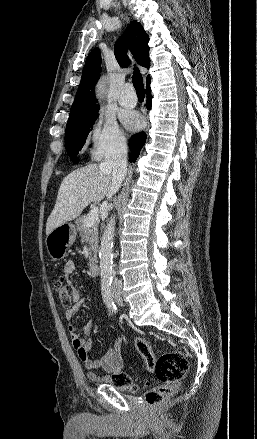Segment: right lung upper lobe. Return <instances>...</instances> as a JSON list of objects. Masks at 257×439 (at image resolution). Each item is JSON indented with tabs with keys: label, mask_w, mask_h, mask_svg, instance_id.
Returning a JSON list of instances; mask_svg holds the SVG:
<instances>
[{
	"label": "right lung upper lobe",
	"mask_w": 257,
	"mask_h": 439,
	"mask_svg": "<svg viewBox=\"0 0 257 439\" xmlns=\"http://www.w3.org/2000/svg\"><path fill=\"white\" fill-rule=\"evenodd\" d=\"M148 41L149 37L144 31L142 25L135 20L132 21L126 34L121 36L114 46L115 57L119 65L125 67L130 64V60L126 53L128 45L137 63L149 68L150 59L148 55ZM101 61L102 59L99 48L93 49L86 59L80 85L74 103L71 106L68 120L98 111L99 105L95 104L96 99L94 87L100 77ZM149 78L150 76L148 75L146 80Z\"/></svg>",
	"instance_id": "right-lung-upper-lobe-1"
}]
</instances>
